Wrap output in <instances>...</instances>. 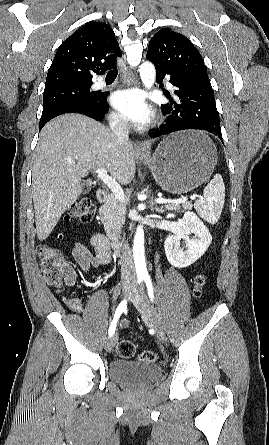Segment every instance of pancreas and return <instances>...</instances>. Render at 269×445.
Returning <instances> with one entry per match:
<instances>
[{
    "label": "pancreas",
    "instance_id": "obj_1",
    "mask_svg": "<svg viewBox=\"0 0 269 445\" xmlns=\"http://www.w3.org/2000/svg\"><path fill=\"white\" fill-rule=\"evenodd\" d=\"M181 207L184 210H191L192 203L185 202L182 205L174 203H166L164 205L165 210H180ZM164 208L162 207L163 211ZM101 221L104 224V228L108 237L112 240H119V233L125 223L126 204L118 200L113 194L109 195L105 204L100 208Z\"/></svg>",
    "mask_w": 269,
    "mask_h": 445
}]
</instances>
